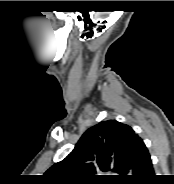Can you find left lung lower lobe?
Listing matches in <instances>:
<instances>
[{
	"mask_svg": "<svg viewBox=\"0 0 174 184\" xmlns=\"http://www.w3.org/2000/svg\"><path fill=\"white\" fill-rule=\"evenodd\" d=\"M129 170L132 172V175H126L124 178V180L129 183H151L150 181H152L154 177L152 161L142 139L137 143L130 156L126 167V173Z\"/></svg>",
	"mask_w": 174,
	"mask_h": 184,
	"instance_id": "1",
	"label": "left lung lower lobe"
}]
</instances>
